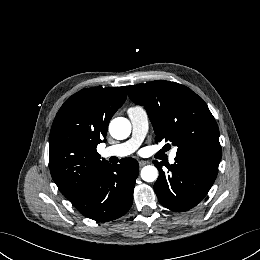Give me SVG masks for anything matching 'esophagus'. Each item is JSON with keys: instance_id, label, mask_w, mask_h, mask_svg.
I'll return each mask as SVG.
<instances>
[{"instance_id": "obj_1", "label": "esophagus", "mask_w": 260, "mask_h": 260, "mask_svg": "<svg viewBox=\"0 0 260 260\" xmlns=\"http://www.w3.org/2000/svg\"><path fill=\"white\" fill-rule=\"evenodd\" d=\"M149 163V161H145V160H140L139 161V166H144V165H146V164H148Z\"/></svg>"}]
</instances>
